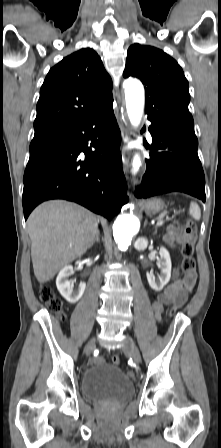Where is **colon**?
<instances>
[{
    "instance_id": "colon-1",
    "label": "colon",
    "mask_w": 221,
    "mask_h": 448,
    "mask_svg": "<svg viewBox=\"0 0 221 448\" xmlns=\"http://www.w3.org/2000/svg\"><path fill=\"white\" fill-rule=\"evenodd\" d=\"M197 233V225L194 221L188 220L185 224L184 228V237L185 240L182 243L181 247V253L183 255V261H182V272L185 276H190L192 273L195 272L196 268V262L194 259V239L196 237ZM40 299L54 312L57 313L59 318H63L64 314L62 312V305L61 302L55 297L52 289L48 286L43 287L40 290ZM180 308L179 303H174L171 307L170 313H175ZM97 364H104L105 360L104 358L100 357L96 360ZM112 363L115 365H118L120 363V357L119 356H113ZM130 376L132 375L131 372L128 373Z\"/></svg>"
}]
</instances>
